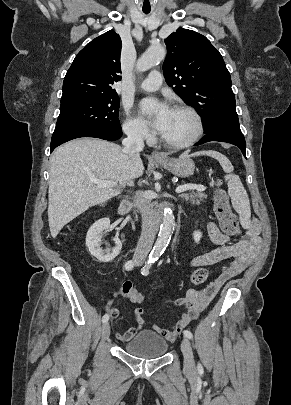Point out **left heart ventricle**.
I'll return each mask as SVG.
<instances>
[{
  "instance_id": "left-heart-ventricle-1",
  "label": "left heart ventricle",
  "mask_w": 291,
  "mask_h": 405,
  "mask_svg": "<svg viewBox=\"0 0 291 405\" xmlns=\"http://www.w3.org/2000/svg\"><path fill=\"white\" fill-rule=\"evenodd\" d=\"M195 131L192 116L183 110L172 109L162 136L169 141L181 142L190 138Z\"/></svg>"
}]
</instances>
